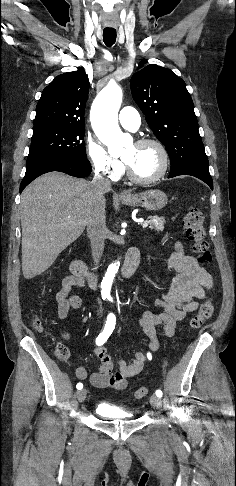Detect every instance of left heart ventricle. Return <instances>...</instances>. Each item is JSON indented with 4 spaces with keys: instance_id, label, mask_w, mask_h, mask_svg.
Segmentation results:
<instances>
[{
    "instance_id": "1",
    "label": "left heart ventricle",
    "mask_w": 236,
    "mask_h": 486,
    "mask_svg": "<svg viewBox=\"0 0 236 486\" xmlns=\"http://www.w3.org/2000/svg\"><path fill=\"white\" fill-rule=\"evenodd\" d=\"M124 161L128 163L135 175L148 178L155 175L161 167V155L154 145L129 146L124 155Z\"/></svg>"
}]
</instances>
